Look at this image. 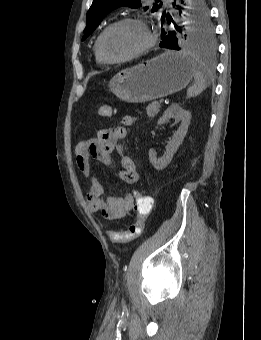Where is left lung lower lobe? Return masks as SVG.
Wrapping results in <instances>:
<instances>
[{
	"label": "left lung lower lobe",
	"mask_w": 261,
	"mask_h": 340,
	"mask_svg": "<svg viewBox=\"0 0 261 340\" xmlns=\"http://www.w3.org/2000/svg\"><path fill=\"white\" fill-rule=\"evenodd\" d=\"M204 3H205V1H204ZM181 4H182V6L178 5V9L180 10V13H182V11L187 7L188 0H181ZM167 21H168V23H170V22L174 23V21L169 19V18H167ZM160 47L179 50L177 38L173 35L165 36L162 39V41L160 42Z\"/></svg>",
	"instance_id": "left-lung-lower-lobe-1"
}]
</instances>
